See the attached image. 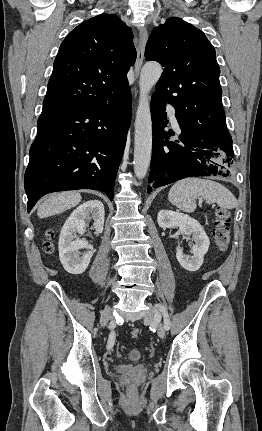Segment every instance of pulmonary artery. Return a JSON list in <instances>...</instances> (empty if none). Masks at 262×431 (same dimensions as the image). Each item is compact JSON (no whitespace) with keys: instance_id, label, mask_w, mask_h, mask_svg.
<instances>
[{"instance_id":"pulmonary-artery-1","label":"pulmonary artery","mask_w":262,"mask_h":431,"mask_svg":"<svg viewBox=\"0 0 262 431\" xmlns=\"http://www.w3.org/2000/svg\"><path fill=\"white\" fill-rule=\"evenodd\" d=\"M167 112H168V114L170 116L171 123H172L173 127L176 128V129H178V122H177L176 117H175V109L173 107H171V106H168L167 107Z\"/></svg>"}]
</instances>
